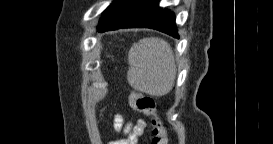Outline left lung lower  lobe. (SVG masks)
I'll return each mask as SVG.
<instances>
[{"label":"left lung lower lobe","mask_w":273,"mask_h":144,"mask_svg":"<svg viewBox=\"0 0 273 144\" xmlns=\"http://www.w3.org/2000/svg\"><path fill=\"white\" fill-rule=\"evenodd\" d=\"M153 28L179 38L174 13L159 7V0H114L104 11L99 32L119 28Z\"/></svg>","instance_id":"obj_1"}]
</instances>
